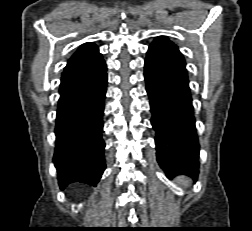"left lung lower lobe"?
Listing matches in <instances>:
<instances>
[{"instance_id": "left-lung-lower-lobe-1", "label": "left lung lower lobe", "mask_w": 252, "mask_h": 231, "mask_svg": "<svg viewBox=\"0 0 252 231\" xmlns=\"http://www.w3.org/2000/svg\"><path fill=\"white\" fill-rule=\"evenodd\" d=\"M144 74L158 163L167 177L186 174L197 179L199 143L186 64L166 36L156 37L149 46Z\"/></svg>"}]
</instances>
